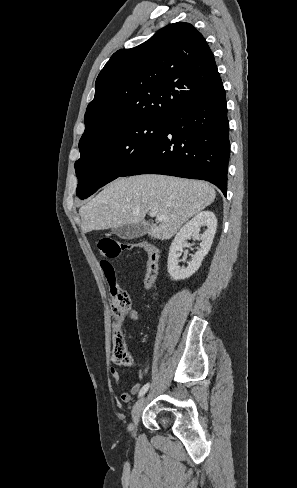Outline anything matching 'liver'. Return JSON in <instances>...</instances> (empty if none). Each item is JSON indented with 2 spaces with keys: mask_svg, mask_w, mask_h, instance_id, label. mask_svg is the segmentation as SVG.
<instances>
[{
  "mask_svg": "<svg viewBox=\"0 0 297 488\" xmlns=\"http://www.w3.org/2000/svg\"><path fill=\"white\" fill-rule=\"evenodd\" d=\"M215 197L214 188L202 181L164 175L118 178L80 208L81 228L87 233L138 224L154 210L165 219L152 223L148 236L168 240Z\"/></svg>",
  "mask_w": 297,
  "mask_h": 488,
  "instance_id": "liver-1",
  "label": "liver"
}]
</instances>
